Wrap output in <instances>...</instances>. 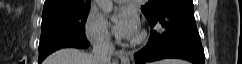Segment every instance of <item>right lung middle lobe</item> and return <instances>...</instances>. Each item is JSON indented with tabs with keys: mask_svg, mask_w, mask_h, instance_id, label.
I'll list each match as a JSON object with an SVG mask.
<instances>
[{
	"mask_svg": "<svg viewBox=\"0 0 242 64\" xmlns=\"http://www.w3.org/2000/svg\"><path fill=\"white\" fill-rule=\"evenodd\" d=\"M90 9L42 14L39 60L65 48H87L85 23Z\"/></svg>",
	"mask_w": 242,
	"mask_h": 64,
	"instance_id": "dd1d6c3e",
	"label": "right lung middle lobe"
}]
</instances>
